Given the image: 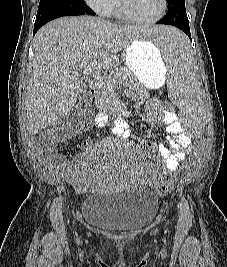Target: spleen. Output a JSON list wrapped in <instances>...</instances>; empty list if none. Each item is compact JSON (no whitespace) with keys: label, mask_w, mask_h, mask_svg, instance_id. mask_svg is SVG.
<instances>
[{"label":"spleen","mask_w":227,"mask_h":267,"mask_svg":"<svg viewBox=\"0 0 227 267\" xmlns=\"http://www.w3.org/2000/svg\"><path fill=\"white\" fill-rule=\"evenodd\" d=\"M174 25L163 22H145L144 25H132V30H145L138 33L137 41L153 43L155 55H163L166 63H170L168 76L169 95L179 106L176 115H203L201 92L197 80L192 73V58L187 38L182 29H174ZM184 137H205V124L202 116H181Z\"/></svg>","instance_id":"spleen-1"}]
</instances>
